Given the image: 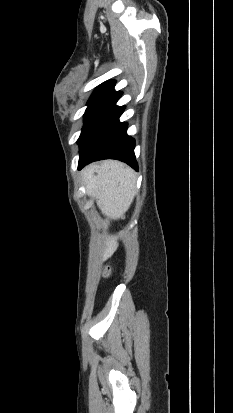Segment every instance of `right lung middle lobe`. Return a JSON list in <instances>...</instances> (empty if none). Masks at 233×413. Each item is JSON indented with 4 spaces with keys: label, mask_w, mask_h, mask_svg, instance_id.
Here are the masks:
<instances>
[{
    "label": "right lung middle lobe",
    "mask_w": 233,
    "mask_h": 413,
    "mask_svg": "<svg viewBox=\"0 0 233 413\" xmlns=\"http://www.w3.org/2000/svg\"><path fill=\"white\" fill-rule=\"evenodd\" d=\"M114 84L115 82L113 81H107L96 88L95 92L88 101V108L84 114L83 130L85 129L88 121L90 120L98 105L101 103L103 98L108 94V92L113 88Z\"/></svg>",
    "instance_id": "dd1d6c3e"
}]
</instances>
